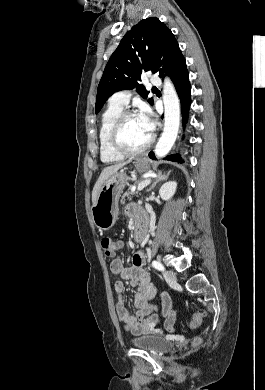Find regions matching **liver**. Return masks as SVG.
<instances>
[{
    "label": "liver",
    "mask_w": 265,
    "mask_h": 390,
    "mask_svg": "<svg viewBox=\"0 0 265 390\" xmlns=\"http://www.w3.org/2000/svg\"><path fill=\"white\" fill-rule=\"evenodd\" d=\"M129 162H122V163H117L111 166H108L104 168L96 181L94 188L92 190V203L93 206L96 204L97 198L99 191L102 187V185L108 180L110 176L115 174L119 169L123 168L125 165H127Z\"/></svg>",
    "instance_id": "1"
}]
</instances>
